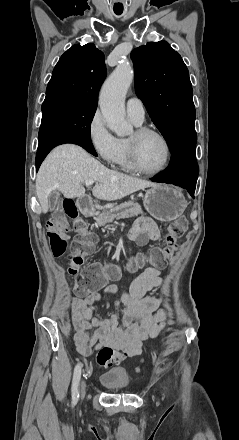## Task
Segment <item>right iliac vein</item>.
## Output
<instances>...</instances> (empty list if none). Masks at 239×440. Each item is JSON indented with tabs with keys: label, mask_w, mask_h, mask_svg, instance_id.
<instances>
[{
	"label": "right iliac vein",
	"mask_w": 239,
	"mask_h": 440,
	"mask_svg": "<svg viewBox=\"0 0 239 440\" xmlns=\"http://www.w3.org/2000/svg\"><path fill=\"white\" fill-rule=\"evenodd\" d=\"M85 390H86V383L84 380H82L80 385V394L82 397L85 395Z\"/></svg>",
	"instance_id": "right-iliac-vein-1"
}]
</instances>
